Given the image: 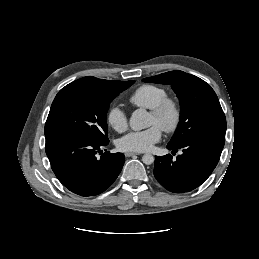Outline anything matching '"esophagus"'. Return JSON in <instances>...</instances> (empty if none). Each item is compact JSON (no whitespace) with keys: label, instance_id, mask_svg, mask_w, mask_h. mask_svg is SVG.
Masks as SVG:
<instances>
[{"label":"esophagus","instance_id":"obj_1","mask_svg":"<svg viewBox=\"0 0 259 259\" xmlns=\"http://www.w3.org/2000/svg\"><path fill=\"white\" fill-rule=\"evenodd\" d=\"M141 153H137V152H125V156L126 157H131V156H134V155H140Z\"/></svg>","mask_w":259,"mask_h":259}]
</instances>
